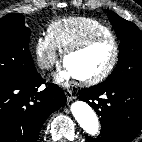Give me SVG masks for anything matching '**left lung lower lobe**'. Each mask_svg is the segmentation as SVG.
Instances as JSON below:
<instances>
[{"mask_svg":"<svg viewBox=\"0 0 142 142\" xmlns=\"http://www.w3.org/2000/svg\"><path fill=\"white\" fill-rule=\"evenodd\" d=\"M101 122V135L88 142H131L142 129V81L100 83L79 91ZM142 142V141H141Z\"/></svg>","mask_w":142,"mask_h":142,"instance_id":"obj_1","label":"left lung lower lobe"}]
</instances>
